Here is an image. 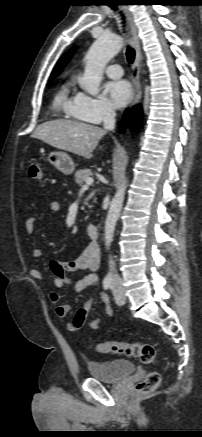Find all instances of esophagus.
<instances>
[{
	"label": "esophagus",
	"mask_w": 202,
	"mask_h": 437,
	"mask_svg": "<svg viewBox=\"0 0 202 437\" xmlns=\"http://www.w3.org/2000/svg\"><path fill=\"white\" fill-rule=\"evenodd\" d=\"M130 30L132 35V43L133 47L135 49V60L133 63V86H134V100L133 104L138 103L141 100L142 97V90H141V84H140V62H141V43L138 35V29L136 27V24L134 22L132 13L129 11L127 7H124Z\"/></svg>",
	"instance_id": "34e87169"
}]
</instances>
